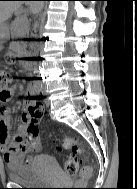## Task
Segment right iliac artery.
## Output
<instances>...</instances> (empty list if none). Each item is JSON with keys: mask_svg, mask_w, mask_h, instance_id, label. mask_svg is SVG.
Masks as SVG:
<instances>
[{"mask_svg": "<svg viewBox=\"0 0 137 189\" xmlns=\"http://www.w3.org/2000/svg\"><path fill=\"white\" fill-rule=\"evenodd\" d=\"M41 90L39 88L36 89V93L40 94Z\"/></svg>", "mask_w": 137, "mask_h": 189, "instance_id": "82829eb1", "label": "right iliac artery"}]
</instances>
